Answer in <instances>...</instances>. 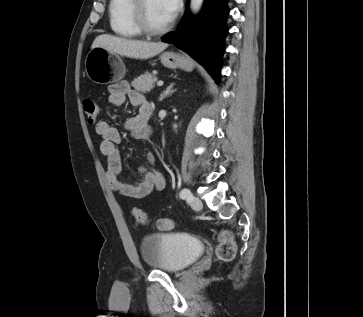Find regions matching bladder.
Masks as SVG:
<instances>
[{
    "label": "bladder",
    "instance_id": "1",
    "mask_svg": "<svg viewBox=\"0 0 363 317\" xmlns=\"http://www.w3.org/2000/svg\"><path fill=\"white\" fill-rule=\"evenodd\" d=\"M140 255L144 264L167 274L183 271L203 254L201 241L180 232L152 233L140 241Z\"/></svg>",
    "mask_w": 363,
    "mask_h": 317
}]
</instances>
